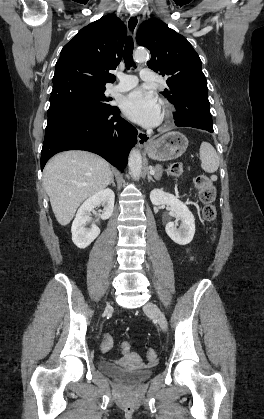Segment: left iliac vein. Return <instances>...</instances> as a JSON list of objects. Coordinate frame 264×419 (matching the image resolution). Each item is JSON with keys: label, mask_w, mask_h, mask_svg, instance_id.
<instances>
[{"label": "left iliac vein", "mask_w": 264, "mask_h": 419, "mask_svg": "<svg viewBox=\"0 0 264 419\" xmlns=\"http://www.w3.org/2000/svg\"><path fill=\"white\" fill-rule=\"evenodd\" d=\"M144 311L147 312L148 314H151L154 317V319H156V321L158 322L159 326L161 327L163 331L167 330L168 324H167L166 317L156 304L152 302H148L144 306Z\"/></svg>", "instance_id": "obj_1"}]
</instances>
